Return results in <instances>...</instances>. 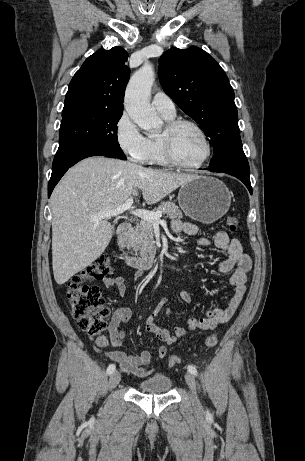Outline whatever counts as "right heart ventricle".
Segmentation results:
<instances>
[{"label": "right heart ventricle", "mask_w": 305, "mask_h": 461, "mask_svg": "<svg viewBox=\"0 0 305 461\" xmlns=\"http://www.w3.org/2000/svg\"><path fill=\"white\" fill-rule=\"evenodd\" d=\"M162 117L169 122L174 119V117H166L163 115ZM145 163L159 166H170V163L164 157L160 137L148 138V153Z\"/></svg>", "instance_id": "right-heart-ventricle-1"}]
</instances>
